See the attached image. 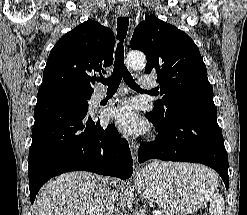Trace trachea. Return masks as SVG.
<instances>
[{
    "instance_id": "trachea-1",
    "label": "trachea",
    "mask_w": 247,
    "mask_h": 215,
    "mask_svg": "<svg viewBox=\"0 0 247 215\" xmlns=\"http://www.w3.org/2000/svg\"><path fill=\"white\" fill-rule=\"evenodd\" d=\"M128 25L129 20L127 17H119L117 19V39L119 40V43L117 44V48L115 51L113 73L108 78H97L98 82H101L108 86V90H117L121 80L123 79L130 88L137 91H144L135 83L133 77L124 64L123 41L127 35Z\"/></svg>"
}]
</instances>
